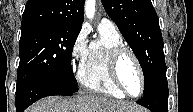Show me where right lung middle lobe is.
<instances>
[{
  "mask_svg": "<svg viewBox=\"0 0 193 112\" xmlns=\"http://www.w3.org/2000/svg\"><path fill=\"white\" fill-rule=\"evenodd\" d=\"M80 30L56 25L21 30L17 88L45 83L77 92L71 57Z\"/></svg>",
  "mask_w": 193,
  "mask_h": 112,
  "instance_id": "obj_1",
  "label": "right lung middle lobe"
}]
</instances>
